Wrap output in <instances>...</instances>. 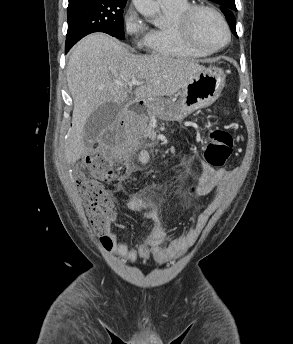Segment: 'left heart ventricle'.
Masks as SVG:
<instances>
[{"label":"left heart ventricle","instance_id":"1","mask_svg":"<svg viewBox=\"0 0 293 344\" xmlns=\"http://www.w3.org/2000/svg\"><path fill=\"white\" fill-rule=\"evenodd\" d=\"M195 40L206 48H215L226 41V32L220 21L207 11H200L192 22Z\"/></svg>","mask_w":293,"mask_h":344}]
</instances>
